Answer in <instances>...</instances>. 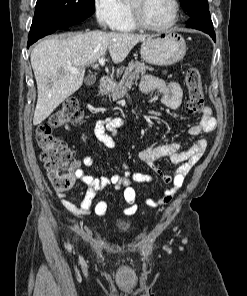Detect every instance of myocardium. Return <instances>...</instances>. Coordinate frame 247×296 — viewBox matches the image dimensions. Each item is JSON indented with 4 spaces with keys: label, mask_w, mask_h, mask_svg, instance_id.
<instances>
[{
    "label": "myocardium",
    "mask_w": 247,
    "mask_h": 296,
    "mask_svg": "<svg viewBox=\"0 0 247 296\" xmlns=\"http://www.w3.org/2000/svg\"><path fill=\"white\" fill-rule=\"evenodd\" d=\"M139 2L140 0H127L128 6L131 12L132 21L136 25V27H139L141 29L148 30V31L161 32V31L170 29L176 24L179 17V9H180L178 0H170V3L172 5V15L170 20L163 25H151L145 22L140 13V9L138 6Z\"/></svg>",
    "instance_id": "obj_1"
}]
</instances>
